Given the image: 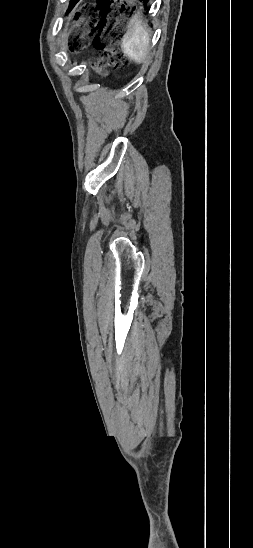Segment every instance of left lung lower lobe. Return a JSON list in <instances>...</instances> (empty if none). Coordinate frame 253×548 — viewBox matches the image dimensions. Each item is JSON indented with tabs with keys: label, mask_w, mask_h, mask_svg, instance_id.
Wrapping results in <instances>:
<instances>
[{
	"label": "left lung lower lobe",
	"mask_w": 253,
	"mask_h": 548,
	"mask_svg": "<svg viewBox=\"0 0 253 548\" xmlns=\"http://www.w3.org/2000/svg\"><path fill=\"white\" fill-rule=\"evenodd\" d=\"M78 1L79 0H71L69 10L72 9ZM141 1H143L144 3H147L149 0H141Z\"/></svg>",
	"instance_id": "0a47b994"
}]
</instances>
